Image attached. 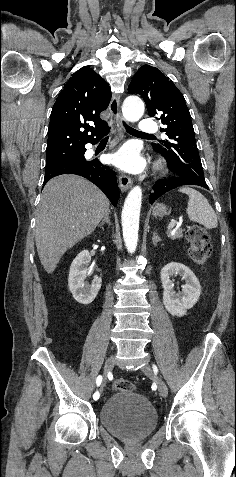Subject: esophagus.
<instances>
[{
	"instance_id": "1",
	"label": "esophagus",
	"mask_w": 236,
	"mask_h": 477,
	"mask_svg": "<svg viewBox=\"0 0 236 477\" xmlns=\"http://www.w3.org/2000/svg\"><path fill=\"white\" fill-rule=\"evenodd\" d=\"M109 110L112 116V122L116 131L120 135H124L125 131L122 125V116L120 113V95L114 94L109 104ZM132 179L127 175L121 174L119 176V185L122 191H127L132 186Z\"/></svg>"
}]
</instances>
